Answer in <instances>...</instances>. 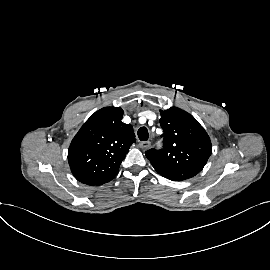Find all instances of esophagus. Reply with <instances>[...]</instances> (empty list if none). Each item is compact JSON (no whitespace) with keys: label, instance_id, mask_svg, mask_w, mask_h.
<instances>
[{"label":"esophagus","instance_id":"esophagus-1","mask_svg":"<svg viewBox=\"0 0 270 270\" xmlns=\"http://www.w3.org/2000/svg\"><path fill=\"white\" fill-rule=\"evenodd\" d=\"M150 145H151L150 141H142L139 143V146L142 149H148Z\"/></svg>","mask_w":270,"mask_h":270}]
</instances>
